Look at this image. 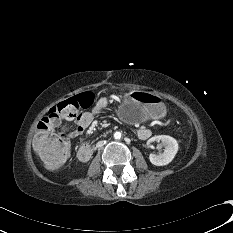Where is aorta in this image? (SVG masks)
Returning a JSON list of instances; mask_svg holds the SVG:
<instances>
[{"instance_id":"762f6f07","label":"aorta","mask_w":233,"mask_h":233,"mask_svg":"<svg viewBox=\"0 0 233 233\" xmlns=\"http://www.w3.org/2000/svg\"><path fill=\"white\" fill-rule=\"evenodd\" d=\"M114 138H115L116 140H119V139L121 138V133H120V132H115V133H114Z\"/></svg>"}]
</instances>
